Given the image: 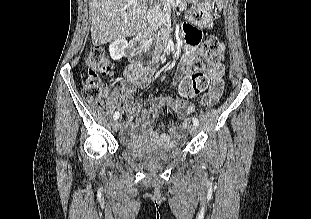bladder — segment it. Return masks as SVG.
Masks as SVG:
<instances>
[{"mask_svg":"<svg viewBox=\"0 0 311 219\" xmlns=\"http://www.w3.org/2000/svg\"><path fill=\"white\" fill-rule=\"evenodd\" d=\"M126 151L132 155L142 157L151 162L171 160L182 152V145L150 146L141 141L127 142L124 144Z\"/></svg>","mask_w":311,"mask_h":219,"instance_id":"31cf9c89","label":"bladder"}]
</instances>
